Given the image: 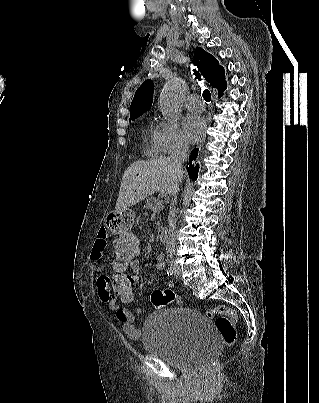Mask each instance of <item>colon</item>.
Instances as JSON below:
<instances>
[{"label":"colon","instance_id":"obj_1","mask_svg":"<svg viewBox=\"0 0 319 403\" xmlns=\"http://www.w3.org/2000/svg\"><path fill=\"white\" fill-rule=\"evenodd\" d=\"M107 231V230H106ZM114 246L112 253L113 291L119 304H136V283L133 281V271L130 268H139L137 254L142 253L140 234H114ZM150 300L157 309H163L172 305L176 295L172 290H155ZM206 315L215 318V327L227 347H233L236 342V312L226 306H217L206 310ZM218 360H212L208 364V371L218 369Z\"/></svg>","mask_w":319,"mask_h":403}]
</instances>
